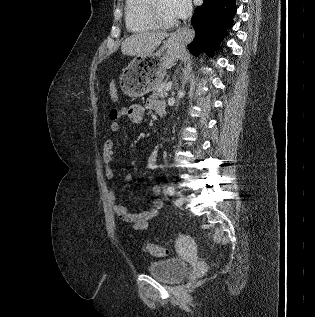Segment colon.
<instances>
[{
    "label": "colon",
    "instance_id": "colon-1",
    "mask_svg": "<svg viewBox=\"0 0 315 317\" xmlns=\"http://www.w3.org/2000/svg\"><path fill=\"white\" fill-rule=\"evenodd\" d=\"M110 94L113 100L117 99V91L115 85H112L110 87ZM145 250L147 253L155 257H164L168 254V250L166 248L151 242H147L145 244Z\"/></svg>",
    "mask_w": 315,
    "mask_h": 317
}]
</instances>
